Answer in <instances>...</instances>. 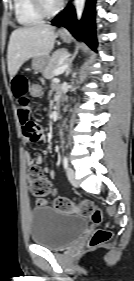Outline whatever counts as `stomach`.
Returning a JSON list of instances; mask_svg holds the SVG:
<instances>
[{"instance_id": "1", "label": "stomach", "mask_w": 134, "mask_h": 281, "mask_svg": "<svg viewBox=\"0 0 134 281\" xmlns=\"http://www.w3.org/2000/svg\"><path fill=\"white\" fill-rule=\"evenodd\" d=\"M60 37L63 39L64 42H71V35L68 33L59 32ZM48 63V57H35L32 60V68L35 71H43Z\"/></svg>"}]
</instances>
